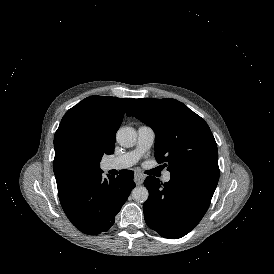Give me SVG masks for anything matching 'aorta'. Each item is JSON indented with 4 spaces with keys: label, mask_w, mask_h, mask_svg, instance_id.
Masks as SVG:
<instances>
[{
    "label": "aorta",
    "mask_w": 274,
    "mask_h": 274,
    "mask_svg": "<svg viewBox=\"0 0 274 274\" xmlns=\"http://www.w3.org/2000/svg\"><path fill=\"white\" fill-rule=\"evenodd\" d=\"M117 141L123 147H132L137 141V134L132 127H122L117 131ZM149 192L146 187L138 186L132 190V198L139 203L148 199Z\"/></svg>",
    "instance_id": "aorta-1"
}]
</instances>
